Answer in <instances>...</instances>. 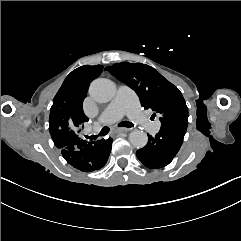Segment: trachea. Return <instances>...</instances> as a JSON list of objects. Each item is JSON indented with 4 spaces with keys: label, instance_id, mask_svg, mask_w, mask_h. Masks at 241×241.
I'll return each mask as SVG.
<instances>
[{
    "label": "trachea",
    "instance_id": "obj_1",
    "mask_svg": "<svg viewBox=\"0 0 241 241\" xmlns=\"http://www.w3.org/2000/svg\"><path fill=\"white\" fill-rule=\"evenodd\" d=\"M118 126H120V127H133L134 124H132L131 122L123 121V122L119 123ZM109 131H110L109 127H103L98 136H105L106 134H108ZM85 137L87 139H90V140L97 139V136H95V135L85 136Z\"/></svg>",
    "mask_w": 241,
    "mask_h": 241
}]
</instances>
